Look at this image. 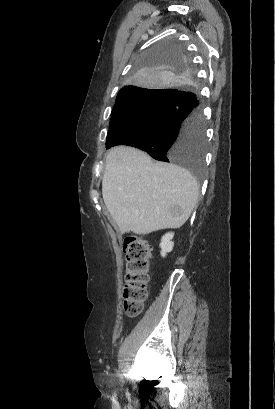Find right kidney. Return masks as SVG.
Here are the masks:
<instances>
[{
	"mask_svg": "<svg viewBox=\"0 0 275 409\" xmlns=\"http://www.w3.org/2000/svg\"><path fill=\"white\" fill-rule=\"evenodd\" d=\"M174 237V233H166V235H164V237H162L161 239V243H160V255L161 257H166L167 253H171L173 247H174V243L173 241H171V239H173Z\"/></svg>",
	"mask_w": 275,
	"mask_h": 409,
	"instance_id": "1",
	"label": "right kidney"
}]
</instances>
